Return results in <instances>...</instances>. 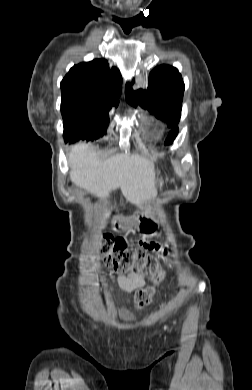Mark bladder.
<instances>
[{
  "label": "bladder",
  "mask_w": 252,
  "mask_h": 390,
  "mask_svg": "<svg viewBox=\"0 0 252 390\" xmlns=\"http://www.w3.org/2000/svg\"><path fill=\"white\" fill-rule=\"evenodd\" d=\"M120 316L126 320H132V316L128 313H121Z\"/></svg>",
  "instance_id": "31cf9c89"
}]
</instances>
